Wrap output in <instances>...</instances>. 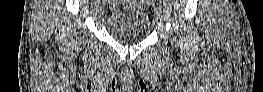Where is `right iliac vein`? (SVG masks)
Returning <instances> with one entry per match:
<instances>
[{"label":"right iliac vein","instance_id":"obj_1","mask_svg":"<svg viewBox=\"0 0 263 92\" xmlns=\"http://www.w3.org/2000/svg\"><path fill=\"white\" fill-rule=\"evenodd\" d=\"M102 5H105V0H102Z\"/></svg>","mask_w":263,"mask_h":92}]
</instances>
